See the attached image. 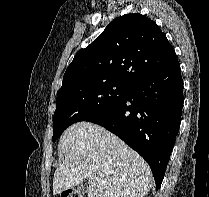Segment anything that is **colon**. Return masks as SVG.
<instances>
[{"label": "colon", "mask_w": 209, "mask_h": 197, "mask_svg": "<svg viewBox=\"0 0 209 197\" xmlns=\"http://www.w3.org/2000/svg\"><path fill=\"white\" fill-rule=\"evenodd\" d=\"M61 197H83V196L76 192H66V193H63Z\"/></svg>", "instance_id": "colon-1"}]
</instances>
